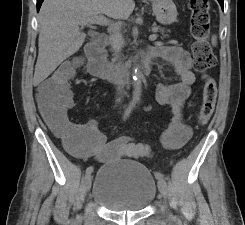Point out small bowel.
I'll return each instance as SVG.
<instances>
[{"label":"small bowel","mask_w":245,"mask_h":225,"mask_svg":"<svg viewBox=\"0 0 245 225\" xmlns=\"http://www.w3.org/2000/svg\"><path fill=\"white\" fill-rule=\"evenodd\" d=\"M147 52H153L155 58H161L169 62L173 72L179 78V82L171 85H159L156 92V101L161 105H169L172 108L173 118L164 132L161 142L165 148L176 150L183 147L191 137L192 129L184 121L183 107L191 93V86L196 80L192 71V58L188 51L177 46L158 45ZM70 62L63 61L59 65L60 70H70ZM37 103L46 117H52L62 126H71L76 129L74 134V146L70 149L72 155L79 159L93 158L100 163H108L117 159H138L150 155L149 146L142 142L124 136L107 139L106 135L98 128L94 120L79 122L67 121L62 112H67L74 107L73 91L62 107L54 111L46 107L40 87L37 88Z\"/></svg>","instance_id":"c3829d8e"}]
</instances>
